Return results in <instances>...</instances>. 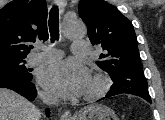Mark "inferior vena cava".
I'll return each instance as SVG.
<instances>
[{
  "instance_id": "inferior-vena-cava-1",
  "label": "inferior vena cava",
  "mask_w": 165,
  "mask_h": 120,
  "mask_svg": "<svg viewBox=\"0 0 165 120\" xmlns=\"http://www.w3.org/2000/svg\"><path fill=\"white\" fill-rule=\"evenodd\" d=\"M41 100L43 101V103L47 104V105H53L55 103H57V98L48 94H44L41 93L40 95Z\"/></svg>"
}]
</instances>
